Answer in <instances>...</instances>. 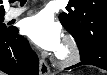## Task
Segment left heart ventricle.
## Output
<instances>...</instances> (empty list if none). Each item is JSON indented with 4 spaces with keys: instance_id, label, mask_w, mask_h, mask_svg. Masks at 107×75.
<instances>
[{
    "instance_id": "obj_1",
    "label": "left heart ventricle",
    "mask_w": 107,
    "mask_h": 75,
    "mask_svg": "<svg viewBox=\"0 0 107 75\" xmlns=\"http://www.w3.org/2000/svg\"><path fill=\"white\" fill-rule=\"evenodd\" d=\"M58 51L59 52H63V47L61 46V48Z\"/></svg>"
}]
</instances>
